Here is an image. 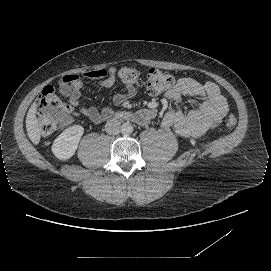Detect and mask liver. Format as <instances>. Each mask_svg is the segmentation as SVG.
I'll return each mask as SVG.
<instances>
[{"label":"liver","mask_w":271,"mask_h":271,"mask_svg":"<svg viewBox=\"0 0 271 271\" xmlns=\"http://www.w3.org/2000/svg\"><path fill=\"white\" fill-rule=\"evenodd\" d=\"M26 129L29 138L34 144H37L40 141L41 130L38 126V121L36 118V106L32 105L28 111L26 117Z\"/></svg>","instance_id":"1"}]
</instances>
